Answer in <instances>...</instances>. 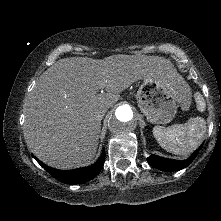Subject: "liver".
Masks as SVG:
<instances>
[{"instance_id":"liver-1","label":"liver","mask_w":221,"mask_h":221,"mask_svg":"<svg viewBox=\"0 0 221 221\" xmlns=\"http://www.w3.org/2000/svg\"><path fill=\"white\" fill-rule=\"evenodd\" d=\"M174 73L170 60L159 56L59 59L40 76L24 104L25 141L53 168L87 166L98 148V112L111 108L134 82ZM102 89L106 92L98 93Z\"/></svg>"}]
</instances>
